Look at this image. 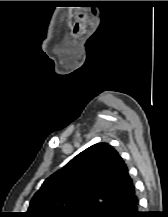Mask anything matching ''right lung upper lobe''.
I'll return each mask as SVG.
<instances>
[{"mask_svg": "<svg viewBox=\"0 0 168 217\" xmlns=\"http://www.w3.org/2000/svg\"><path fill=\"white\" fill-rule=\"evenodd\" d=\"M135 194L128 168L107 143L92 145L47 178L25 217H98Z\"/></svg>", "mask_w": 168, "mask_h": 217, "instance_id": "obj_1", "label": "right lung upper lobe"}]
</instances>
